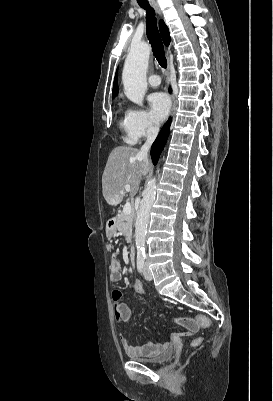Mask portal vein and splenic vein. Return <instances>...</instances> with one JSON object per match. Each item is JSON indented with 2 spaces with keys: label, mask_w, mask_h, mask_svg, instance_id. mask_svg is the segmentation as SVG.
I'll return each mask as SVG.
<instances>
[{
  "label": "portal vein and splenic vein",
  "mask_w": 273,
  "mask_h": 401,
  "mask_svg": "<svg viewBox=\"0 0 273 401\" xmlns=\"http://www.w3.org/2000/svg\"><path fill=\"white\" fill-rule=\"evenodd\" d=\"M125 190H127V192H129V190H131L130 184H126ZM121 194H124L123 190H121ZM123 213H124V215H130V213H132V207H131L130 203H126L125 207H123Z\"/></svg>",
  "instance_id": "obj_1"
}]
</instances>
